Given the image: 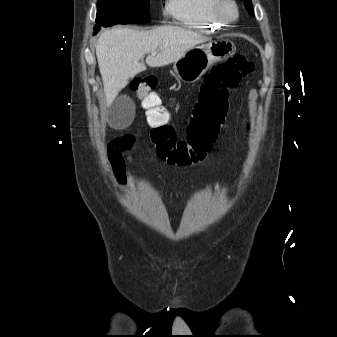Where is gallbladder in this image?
<instances>
[{
  "mask_svg": "<svg viewBox=\"0 0 337 337\" xmlns=\"http://www.w3.org/2000/svg\"><path fill=\"white\" fill-rule=\"evenodd\" d=\"M134 114L133 101L127 96H120L109 106L108 123L116 129L125 128L132 122Z\"/></svg>",
  "mask_w": 337,
  "mask_h": 337,
  "instance_id": "bac80fb5",
  "label": "gallbladder"
}]
</instances>
